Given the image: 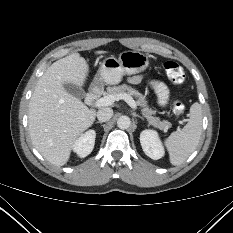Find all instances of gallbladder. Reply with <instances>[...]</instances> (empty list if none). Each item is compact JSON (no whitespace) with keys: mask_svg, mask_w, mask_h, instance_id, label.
<instances>
[{"mask_svg":"<svg viewBox=\"0 0 233 233\" xmlns=\"http://www.w3.org/2000/svg\"><path fill=\"white\" fill-rule=\"evenodd\" d=\"M64 88L68 93H70L78 99H83L85 97V91L81 87H78L73 84H65Z\"/></svg>","mask_w":233,"mask_h":233,"instance_id":"bac80fb5","label":"gallbladder"}]
</instances>
